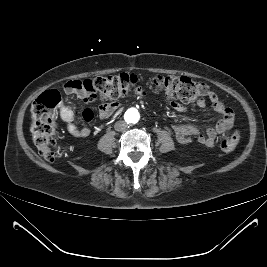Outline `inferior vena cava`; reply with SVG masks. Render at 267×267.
I'll list each match as a JSON object with an SVG mask.
<instances>
[{
  "label": "inferior vena cava",
  "instance_id": "inferior-vena-cava-1",
  "mask_svg": "<svg viewBox=\"0 0 267 267\" xmlns=\"http://www.w3.org/2000/svg\"><path fill=\"white\" fill-rule=\"evenodd\" d=\"M116 131H123L127 128V123L123 120L117 121L114 125Z\"/></svg>",
  "mask_w": 267,
  "mask_h": 267
}]
</instances>
